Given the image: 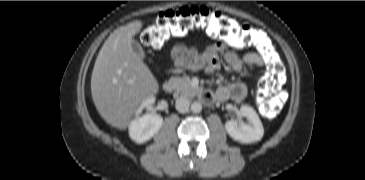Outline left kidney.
Wrapping results in <instances>:
<instances>
[{
  "instance_id": "5707ae66",
  "label": "left kidney",
  "mask_w": 365,
  "mask_h": 180,
  "mask_svg": "<svg viewBox=\"0 0 365 180\" xmlns=\"http://www.w3.org/2000/svg\"><path fill=\"white\" fill-rule=\"evenodd\" d=\"M239 112L241 116L247 118L248 123H238L236 120L227 121L225 123L227 133L241 143H253L261 140L264 129L256 111L250 106L243 105Z\"/></svg>"
}]
</instances>
